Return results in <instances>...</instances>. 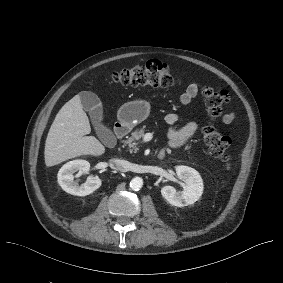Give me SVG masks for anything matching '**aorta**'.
I'll return each instance as SVG.
<instances>
[{
  "label": "aorta",
  "mask_w": 283,
  "mask_h": 283,
  "mask_svg": "<svg viewBox=\"0 0 283 283\" xmlns=\"http://www.w3.org/2000/svg\"><path fill=\"white\" fill-rule=\"evenodd\" d=\"M143 186V179L141 177H135L130 182V188L134 191H138Z\"/></svg>",
  "instance_id": "obj_1"
}]
</instances>
